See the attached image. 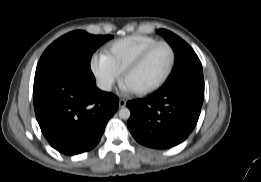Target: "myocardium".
Here are the masks:
<instances>
[{
	"mask_svg": "<svg viewBox=\"0 0 261 182\" xmlns=\"http://www.w3.org/2000/svg\"><path fill=\"white\" fill-rule=\"evenodd\" d=\"M161 46L167 47L171 53V60H170V64L168 66L167 71L165 72L163 77L158 82H156L152 86L147 87L145 89L132 91L134 94L139 95V96L150 94V93L158 90L159 88H161L167 82L169 77L171 76L174 66H175V62H176V53H175L174 48L169 43L161 41V42H158V43L150 46L146 50H144L134 61H132L124 69L123 74H122V80H123V83H125L127 77L132 72H134L136 69H138L154 50H156L157 48H159Z\"/></svg>",
	"mask_w": 261,
	"mask_h": 182,
	"instance_id": "obj_1",
	"label": "myocardium"
}]
</instances>
